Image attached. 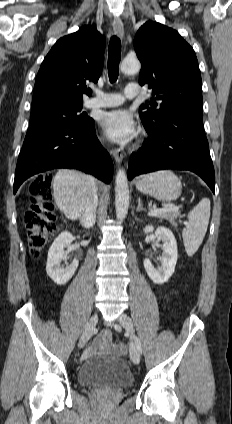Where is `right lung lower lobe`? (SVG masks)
Masks as SVG:
<instances>
[{
    "label": "right lung lower lobe",
    "instance_id": "98d812e1",
    "mask_svg": "<svg viewBox=\"0 0 232 424\" xmlns=\"http://www.w3.org/2000/svg\"><path fill=\"white\" fill-rule=\"evenodd\" d=\"M93 124L84 128L29 127L17 161L14 193L27 178L54 168L80 169L109 183L113 163L98 141Z\"/></svg>",
    "mask_w": 232,
    "mask_h": 424
}]
</instances>
